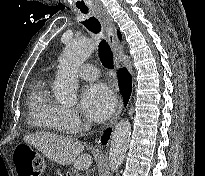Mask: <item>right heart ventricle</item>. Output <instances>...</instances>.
<instances>
[{
  "instance_id": "obj_1",
  "label": "right heart ventricle",
  "mask_w": 205,
  "mask_h": 176,
  "mask_svg": "<svg viewBox=\"0 0 205 176\" xmlns=\"http://www.w3.org/2000/svg\"><path fill=\"white\" fill-rule=\"evenodd\" d=\"M29 119L33 126L52 134L64 132L61 118V106L50 94L45 79H38L33 84L29 97Z\"/></svg>"
}]
</instances>
